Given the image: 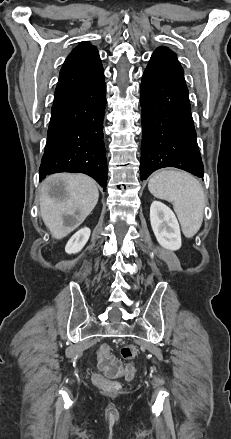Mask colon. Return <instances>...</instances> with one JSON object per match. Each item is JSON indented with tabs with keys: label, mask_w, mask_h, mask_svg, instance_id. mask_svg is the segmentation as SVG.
<instances>
[{
	"label": "colon",
	"mask_w": 231,
	"mask_h": 439,
	"mask_svg": "<svg viewBox=\"0 0 231 439\" xmlns=\"http://www.w3.org/2000/svg\"><path fill=\"white\" fill-rule=\"evenodd\" d=\"M121 357L125 360L133 359L138 354V349L133 345H127L120 350ZM98 368L101 372L92 375L94 383L102 388L116 389L118 384L115 379L121 375L131 379L134 375V369L131 366L123 367L109 351L108 347L103 346L98 354Z\"/></svg>",
	"instance_id": "1"
}]
</instances>
